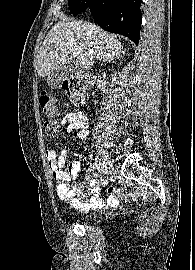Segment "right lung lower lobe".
<instances>
[{
  "instance_id": "right-lung-lower-lobe-1",
  "label": "right lung lower lobe",
  "mask_w": 195,
  "mask_h": 270,
  "mask_svg": "<svg viewBox=\"0 0 195 270\" xmlns=\"http://www.w3.org/2000/svg\"><path fill=\"white\" fill-rule=\"evenodd\" d=\"M142 0H88L96 23L108 32L125 35L136 45L141 28L140 5Z\"/></svg>"
}]
</instances>
